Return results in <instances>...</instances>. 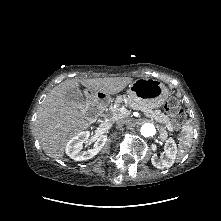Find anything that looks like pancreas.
Listing matches in <instances>:
<instances>
[{
    "label": "pancreas",
    "mask_w": 221,
    "mask_h": 221,
    "mask_svg": "<svg viewBox=\"0 0 221 221\" xmlns=\"http://www.w3.org/2000/svg\"><path fill=\"white\" fill-rule=\"evenodd\" d=\"M121 106L129 107L134 110H140V111L144 112V114L147 117H149L151 120H155L156 122L164 124L165 127L169 131H173L172 122L167 115H165L164 113H161V111H159V110L154 111L147 106L139 105L138 103L130 100L125 95L118 96L116 98L115 104L105 110L104 117L109 118L110 120H116V119L123 118L125 116V114L120 112Z\"/></svg>",
    "instance_id": "cf45deb5"
}]
</instances>
